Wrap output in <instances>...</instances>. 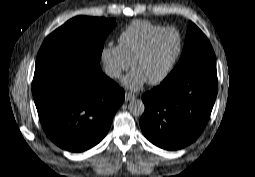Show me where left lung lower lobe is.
Here are the masks:
<instances>
[{
    "label": "left lung lower lobe",
    "mask_w": 255,
    "mask_h": 177,
    "mask_svg": "<svg viewBox=\"0 0 255 177\" xmlns=\"http://www.w3.org/2000/svg\"><path fill=\"white\" fill-rule=\"evenodd\" d=\"M218 89L216 66L189 71L142 96L140 127L154 145L177 150L195 141L210 117Z\"/></svg>",
    "instance_id": "0a47b994"
}]
</instances>
